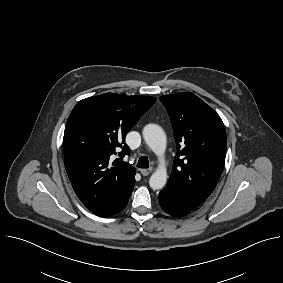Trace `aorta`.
I'll list each match as a JSON object with an SVG mask.
<instances>
[{
    "instance_id": "762f6f07",
    "label": "aorta",
    "mask_w": 283,
    "mask_h": 283,
    "mask_svg": "<svg viewBox=\"0 0 283 283\" xmlns=\"http://www.w3.org/2000/svg\"><path fill=\"white\" fill-rule=\"evenodd\" d=\"M143 138L150 149L161 157L166 149V135L164 130L156 124H148L143 129ZM167 181V172L164 166L159 168L151 175L149 185L153 190L162 189Z\"/></svg>"
}]
</instances>
